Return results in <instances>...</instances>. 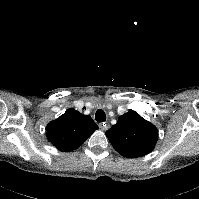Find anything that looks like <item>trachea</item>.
<instances>
[{
    "label": "trachea",
    "instance_id": "obj_1",
    "mask_svg": "<svg viewBox=\"0 0 199 199\" xmlns=\"http://www.w3.org/2000/svg\"><path fill=\"white\" fill-rule=\"evenodd\" d=\"M95 119L97 122L106 121V113L102 109H98L95 113Z\"/></svg>",
    "mask_w": 199,
    "mask_h": 199
}]
</instances>
